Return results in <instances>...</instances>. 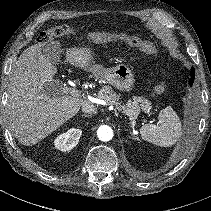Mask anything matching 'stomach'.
<instances>
[{
    "mask_svg": "<svg viewBox=\"0 0 211 211\" xmlns=\"http://www.w3.org/2000/svg\"><path fill=\"white\" fill-rule=\"evenodd\" d=\"M120 39L125 40V35H119ZM113 85L120 91L129 92L134 86V76L131 70L124 64H119L112 68H104L100 65V72L95 75Z\"/></svg>",
    "mask_w": 211,
    "mask_h": 211,
    "instance_id": "obj_1",
    "label": "stomach"
}]
</instances>
